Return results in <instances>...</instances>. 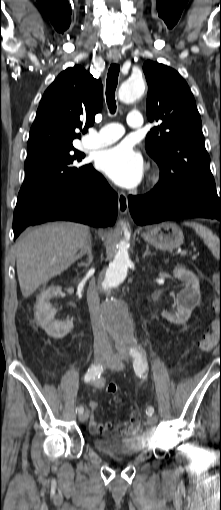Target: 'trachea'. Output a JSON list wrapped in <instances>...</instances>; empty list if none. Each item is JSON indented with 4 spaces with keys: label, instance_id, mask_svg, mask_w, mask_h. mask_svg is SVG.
Returning <instances> with one entry per match:
<instances>
[{
    "label": "trachea",
    "instance_id": "obj_1",
    "mask_svg": "<svg viewBox=\"0 0 221 510\" xmlns=\"http://www.w3.org/2000/svg\"><path fill=\"white\" fill-rule=\"evenodd\" d=\"M119 72L120 66L118 64H112L107 74L106 101L108 104V108L112 114L116 112L115 90L118 83Z\"/></svg>",
    "mask_w": 221,
    "mask_h": 510
}]
</instances>
